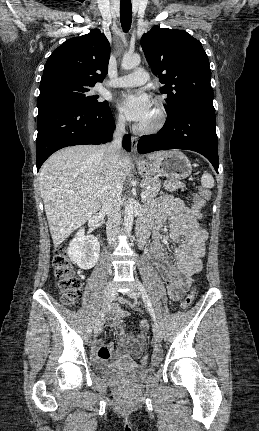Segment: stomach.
I'll list each match as a JSON object with an SVG mask.
<instances>
[{
	"label": "stomach",
	"instance_id": "0dacf381",
	"mask_svg": "<svg viewBox=\"0 0 259 431\" xmlns=\"http://www.w3.org/2000/svg\"><path fill=\"white\" fill-rule=\"evenodd\" d=\"M138 169L145 178L164 176L170 180H182L192 173L188 157L180 151H167L155 160L138 163Z\"/></svg>",
	"mask_w": 259,
	"mask_h": 431
}]
</instances>
